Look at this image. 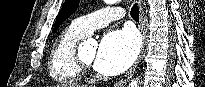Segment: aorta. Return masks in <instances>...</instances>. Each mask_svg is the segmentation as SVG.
Returning <instances> with one entry per match:
<instances>
[{"label": "aorta", "mask_w": 205, "mask_h": 87, "mask_svg": "<svg viewBox=\"0 0 205 87\" xmlns=\"http://www.w3.org/2000/svg\"><path fill=\"white\" fill-rule=\"evenodd\" d=\"M117 0H105L106 3L112 4L115 3ZM89 41L85 42L84 45H88ZM129 87H139L138 82L136 80H132L129 84Z\"/></svg>", "instance_id": "obj_1"}]
</instances>
